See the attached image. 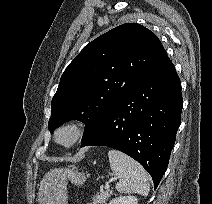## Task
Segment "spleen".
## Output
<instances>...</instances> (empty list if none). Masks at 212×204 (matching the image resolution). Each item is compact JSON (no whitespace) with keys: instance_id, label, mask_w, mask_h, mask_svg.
Returning <instances> with one entry per match:
<instances>
[{"instance_id":"3e777b00","label":"spleen","mask_w":212,"mask_h":204,"mask_svg":"<svg viewBox=\"0 0 212 204\" xmlns=\"http://www.w3.org/2000/svg\"><path fill=\"white\" fill-rule=\"evenodd\" d=\"M108 156L111 170L119 178L115 186L117 191L138 193L146 197L149 194L150 184L145 169L137 161L120 151L110 150Z\"/></svg>"}]
</instances>
